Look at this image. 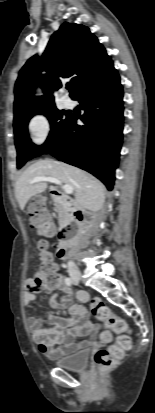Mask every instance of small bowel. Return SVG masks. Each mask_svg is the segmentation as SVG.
<instances>
[{"label":"small bowel","instance_id":"obj_1","mask_svg":"<svg viewBox=\"0 0 155 413\" xmlns=\"http://www.w3.org/2000/svg\"><path fill=\"white\" fill-rule=\"evenodd\" d=\"M53 231L48 232L52 235ZM57 274V283L49 286L41 272H37L33 277L26 280L27 303H31L42 290L57 289L61 294L60 301L51 300V306L59 311H67L72 318L63 319L53 314H47V322L50 327L44 326L40 316H31L28 318V326L31 331L33 341L39 350L48 358L57 360L61 357L68 356L78 352L83 348L92 345L95 342V335L99 334V339L103 344H108L112 340V334L104 325H93L88 319V310L84 305L74 304L72 302V290L64 282L63 275L59 272V266L54 263ZM89 295L86 291L77 293V299L81 302L87 301ZM90 335L89 340L76 342L78 337Z\"/></svg>","mask_w":155,"mask_h":413}]
</instances>
